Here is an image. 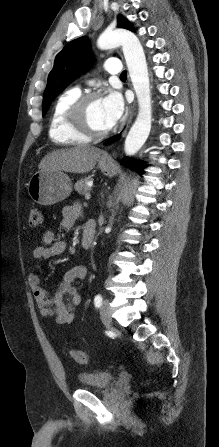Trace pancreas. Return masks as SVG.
<instances>
[{"label": "pancreas", "instance_id": "obj_1", "mask_svg": "<svg viewBox=\"0 0 219 447\" xmlns=\"http://www.w3.org/2000/svg\"><path fill=\"white\" fill-rule=\"evenodd\" d=\"M89 181H92L91 177H85L83 179L78 180L75 185H74V189L82 195H86L87 193H89L90 188L88 187L87 183Z\"/></svg>", "mask_w": 219, "mask_h": 447}]
</instances>
